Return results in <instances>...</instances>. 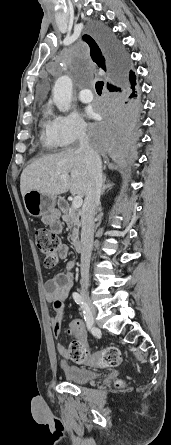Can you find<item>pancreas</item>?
<instances>
[{
    "label": "pancreas",
    "mask_w": 171,
    "mask_h": 445,
    "mask_svg": "<svg viewBox=\"0 0 171 445\" xmlns=\"http://www.w3.org/2000/svg\"><path fill=\"white\" fill-rule=\"evenodd\" d=\"M62 219L68 225V228L71 230V234L68 235V240H71L72 243H75L79 238V229H80V220L79 214L73 207L63 208Z\"/></svg>",
    "instance_id": "obj_1"
}]
</instances>
